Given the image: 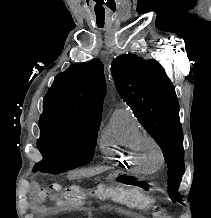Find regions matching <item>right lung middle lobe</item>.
Returning <instances> with one entry per match:
<instances>
[{"mask_svg":"<svg viewBox=\"0 0 211 218\" xmlns=\"http://www.w3.org/2000/svg\"><path fill=\"white\" fill-rule=\"evenodd\" d=\"M101 118H85L71 115L43 113L39 127L41 137L39 143L71 144L83 150V160L59 164L53 169L60 173L90 162L96 145L97 130Z\"/></svg>","mask_w":211,"mask_h":218,"instance_id":"obj_1","label":"right lung middle lobe"}]
</instances>
